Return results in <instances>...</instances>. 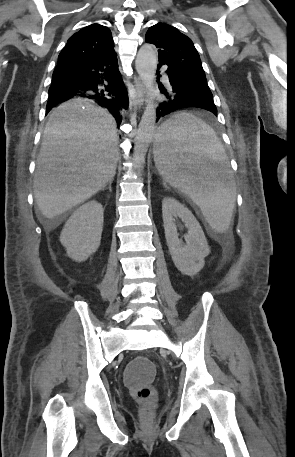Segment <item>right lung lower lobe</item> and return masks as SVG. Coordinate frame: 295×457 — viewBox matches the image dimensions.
I'll use <instances>...</instances> for the list:
<instances>
[{
    "label": "right lung lower lobe",
    "mask_w": 295,
    "mask_h": 457,
    "mask_svg": "<svg viewBox=\"0 0 295 457\" xmlns=\"http://www.w3.org/2000/svg\"><path fill=\"white\" fill-rule=\"evenodd\" d=\"M116 55L112 50L92 61L57 65L49 88L46 113L56 104L72 97H86L106 107L119 125L120 111L128 107V96Z\"/></svg>",
    "instance_id": "right-lung-lower-lobe-1"
}]
</instances>
